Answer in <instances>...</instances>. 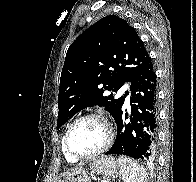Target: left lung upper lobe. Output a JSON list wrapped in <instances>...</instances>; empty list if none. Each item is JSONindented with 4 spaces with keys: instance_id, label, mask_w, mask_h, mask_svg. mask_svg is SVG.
<instances>
[{
    "instance_id": "5c2ea615",
    "label": "left lung upper lobe",
    "mask_w": 196,
    "mask_h": 182,
    "mask_svg": "<svg viewBox=\"0 0 196 182\" xmlns=\"http://www.w3.org/2000/svg\"><path fill=\"white\" fill-rule=\"evenodd\" d=\"M151 60L135 29L116 15L106 16L84 31L69 47L60 78L58 129L80 110L98 105L117 119L125 95ZM111 91L105 95V91Z\"/></svg>"
}]
</instances>
